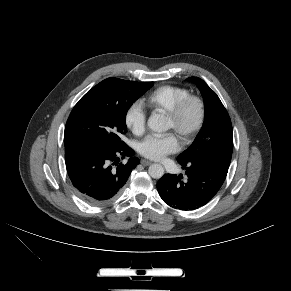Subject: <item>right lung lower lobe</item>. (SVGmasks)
I'll return each instance as SVG.
<instances>
[{"instance_id":"98d812e1","label":"right lung lower lobe","mask_w":291,"mask_h":291,"mask_svg":"<svg viewBox=\"0 0 291 291\" xmlns=\"http://www.w3.org/2000/svg\"><path fill=\"white\" fill-rule=\"evenodd\" d=\"M134 151L126 144L105 145L78 141L65 145V162L77 194L88 204L102 205L121 192L131 170L139 164ZM130 157L126 164L119 158Z\"/></svg>"}]
</instances>
